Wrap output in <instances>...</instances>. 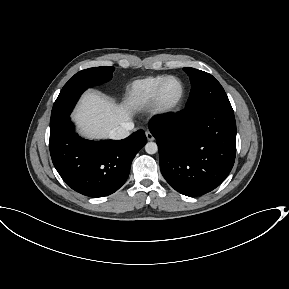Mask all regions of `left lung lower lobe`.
Returning a JSON list of instances; mask_svg holds the SVG:
<instances>
[{
  "label": "left lung lower lobe",
  "mask_w": 289,
  "mask_h": 289,
  "mask_svg": "<svg viewBox=\"0 0 289 289\" xmlns=\"http://www.w3.org/2000/svg\"><path fill=\"white\" fill-rule=\"evenodd\" d=\"M157 139L160 169L166 181L186 196L218 187L236 155L234 112L218 106H194L149 121Z\"/></svg>",
  "instance_id": "1"
}]
</instances>
